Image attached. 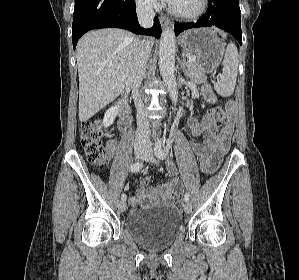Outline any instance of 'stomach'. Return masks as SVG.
I'll use <instances>...</instances> for the list:
<instances>
[{"mask_svg": "<svg viewBox=\"0 0 299 280\" xmlns=\"http://www.w3.org/2000/svg\"><path fill=\"white\" fill-rule=\"evenodd\" d=\"M182 48L197 56L204 73L215 71L225 52V44L210 28L192 29L185 32L180 38ZM205 90L210 92L209 87Z\"/></svg>", "mask_w": 299, "mask_h": 280, "instance_id": "1", "label": "stomach"}]
</instances>
